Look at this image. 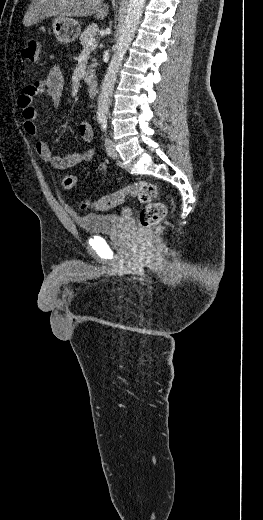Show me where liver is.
Instances as JSON below:
<instances>
[{
    "label": "liver",
    "mask_w": 263,
    "mask_h": 520,
    "mask_svg": "<svg viewBox=\"0 0 263 520\" xmlns=\"http://www.w3.org/2000/svg\"><path fill=\"white\" fill-rule=\"evenodd\" d=\"M105 0H32L23 18L26 27L39 23L47 17H88L104 19L109 12Z\"/></svg>",
    "instance_id": "liver-1"
}]
</instances>
